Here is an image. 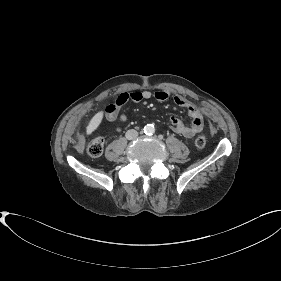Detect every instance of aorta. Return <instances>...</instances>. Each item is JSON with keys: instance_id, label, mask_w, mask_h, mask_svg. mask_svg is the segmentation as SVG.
<instances>
[{"instance_id": "obj_1", "label": "aorta", "mask_w": 281, "mask_h": 281, "mask_svg": "<svg viewBox=\"0 0 281 281\" xmlns=\"http://www.w3.org/2000/svg\"><path fill=\"white\" fill-rule=\"evenodd\" d=\"M155 132V127L153 124H147L144 127V133L147 135H152Z\"/></svg>"}]
</instances>
